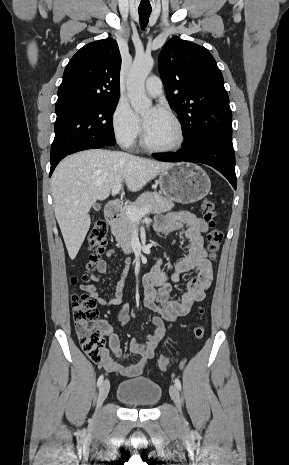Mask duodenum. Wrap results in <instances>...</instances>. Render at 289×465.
I'll return each mask as SVG.
<instances>
[{
  "label": "duodenum",
  "instance_id": "obj_1",
  "mask_svg": "<svg viewBox=\"0 0 289 465\" xmlns=\"http://www.w3.org/2000/svg\"><path fill=\"white\" fill-rule=\"evenodd\" d=\"M120 202L113 200L108 203L105 209V218L108 223H114L119 216Z\"/></svg>",
  "mask_w": 289,
  "mask_h": 465
}]
</instances>
